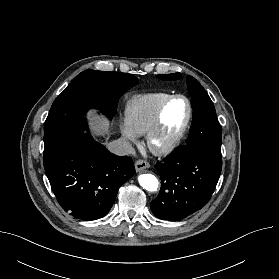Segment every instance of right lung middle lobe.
<instances>
[{"label": "right lung middle lobe", "instance_id": "1", "mask_svg": "<svg viewBox=\"0 0 279 279\" xmlns=\"http://www.w3.org/2000/svg\"><path fill=\"white\" fill-rule=\"evenodd\" d=\"M138 79L128 73L85 70L55 99L44 124L43 162L47 168L53 158L82 129L83 116L96 108L112 118L119 98Z\"/></svg>", "mask_w": 279, "mask_h": 279}]
</instances>
